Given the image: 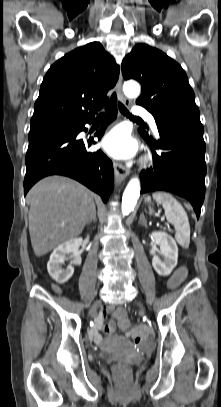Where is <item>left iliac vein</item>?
Wrapping results in <instances>:
<instances>
[{"instance_id": "4c4485c4", "label": "left iliac vein", "mask_w": 221, "mask_h": 407, "mask_svg": "<svg viewBox=\"0 0 221 407\" xmlns=\"http://www.w3.org/2000/svg\"><path fill=\"white\" fill-rule=\"evenodd\" d=\"M138 305H139L140 307H143V306H142V304H141L140 302H138Z\"/></svg>"}]
</instances>
